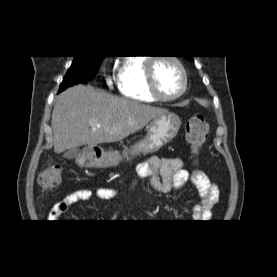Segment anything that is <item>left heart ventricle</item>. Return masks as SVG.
I'll use <instances>...</instances> for the list:
<instances>
[{"instance_id":"b2bd125f","label":"left heart ventricle","mask_w":277,"mask_h":277,"mask_svg":"<svg viewBox=\"0 0 277 277\" xmlns=\"http://www.w3.org/2000/svg\"><path fill=\"white\" fill-rule=\"evenodd\" d=\"M156 84L165 96L176 95L182 88L183 79L179 68L171 61L158 60L154 66Z\"/></svg>"}]
</instances>
